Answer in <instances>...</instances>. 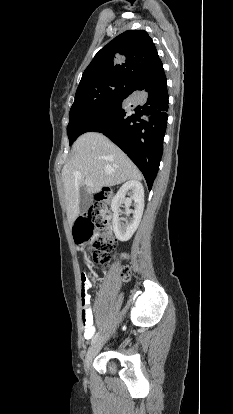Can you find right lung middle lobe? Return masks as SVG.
Listing matches in <instances>:
<instances>
[{
	"mask_svg": "<svg viewBox=\"0 0 233 414\" xmlns=\"http://www.w3.org/2000/svg\"><path fill=\"white\" fill-rule=\"evenodd\" d=\"M131 82L121 79H104L76 92L70 109L67 135L70 145L80 135L82 125L94 114L122 97Z\"/></svg>",
	"mask_w": 233,
	"mask_h": 414,
	"instance_id": "dd1d6c3e",
	"label": "right lung middle lobe"
}]
</instances>
